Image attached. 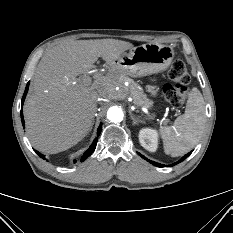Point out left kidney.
<instances>
[{
	"instance_id": "1",
	"label": "left kidney",
	"mask_w": 233,
	"mask_h": 233,
	"mask_svg": "<svg viewBox=\"0 0 233 233\" xmlns=\"http://www.w3.org/2000/svg\"><path fill=\"white\" fill-rule=\"evenodd\" d=\"M139 141L142 147L150 152H155L158 147V133L154 129L144 128L139 132Z\"/></svg>"
}]
</instances>
